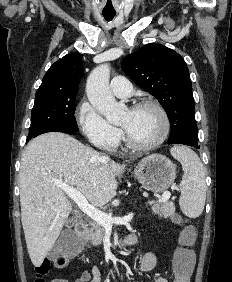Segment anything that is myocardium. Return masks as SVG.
<instances>
[{"label": "myocardium", "instance_id": "myocardium-1", "mask_svg": "<svg viewBox=\"0 0 232 282\" xmlns=\"http://www.w3.org/2000/svg\"><path fill=\"white\" fill-rule=\"evenodd\" d=\"M144 107H150L155 109L161 116L162 121H163V129L162 132L160 134V136L150 142V143H146V144H139L134 142L129 135L127 134V132L125 131V129H122V136H123V140L125 142V144L133 149V150H137V151H147V150H152L157 148L158 146H160L161 144H163L165 142V140L167 139L169 133H170V129H171V122H170V118L168 116V113L166 112V110L156 101L154 100H142L137 102L136 104L133 105L131 110H135V109H139V108H144Z\"/></svg>", "mask_w": 232, "mask_h": 282}]
</instances>
